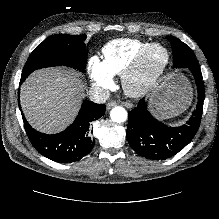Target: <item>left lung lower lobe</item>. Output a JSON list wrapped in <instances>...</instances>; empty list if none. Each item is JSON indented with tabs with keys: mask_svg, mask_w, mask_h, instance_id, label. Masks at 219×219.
Wrapping results in <instances>:
<instances>
[{
	"mask_svg": "<svg viewBox=\"0 0 219 219\" xmlns=\"http://www.w3.org/2000/svg\"><path fill=\"white\" fill-rule=\"evenodd\" d=\"M189 69L196 80L199 101L185 124L170 127L158 121L150 114L144 99L129 112L127 140L138 154L155 160L172 157L196 134L201 121L205 91L200 67Z\"/></svg>",
	"mask_w": 219,
	"mask_h": 219,
	"instance_id": "obj_1",
	"label": "left lung lower lobe"
}]
</instances>
